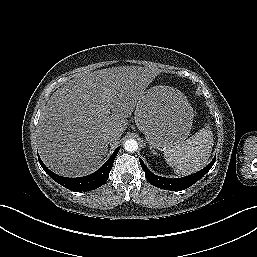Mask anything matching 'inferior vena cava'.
<instances>
[{
    "mask_svg": "<svg viewBox=\"0 0 257 257\" xmlns=\"http://www.w3.org/2000/svg\"><path fill=\"white\" fill-rule=\"evenodd\" d=\"M104 137L108 141H114V140H117L118 135L113 131H108V132L104 133Z\"/></svg>",
    "mask_w": 257,
    "mask_h": 257,
    "instance_id": "1",
    "label": "inferior vena cava"
}]
</instances>
